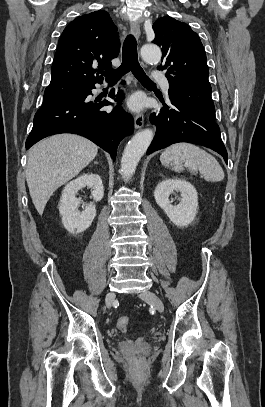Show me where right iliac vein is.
Segmentation results:
<instances>
[{
	"label": "right iliac vein",
	"mask_w": 265,
	"mask_h": 407,
	"mask_svg": "<svg viewBox=\"0 0 265 407\" xmlns=\"http://www.w3.org/2000/svg\"><path fill=\"white\" fill-rule=\"evenodd\" d=\"M114 299H115V294H114L113 292L107 293L106 298H105V302H106V306H107L108 308L111 307V305H112Z\"/></svg>",
	"instance_id": "63e3f726"
}]
</instances>
